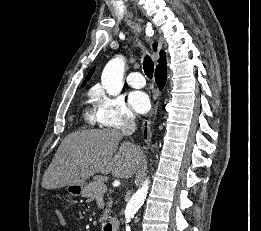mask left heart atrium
I'll list each match as a JSON object with an SVG mask.
<instances>
[{"label": "left heart atrium", "mask_w": 261, "mask_h": 231, "mask_svg": "<svg viewBox=\"0 0 261 231\" xmlns=\"http://www.w3.org/2000/svg\"><path fill=\"white\" fill-rule=\"evenodd\" d=\"M129 104L135 112L144 114L150 108V99L142 91H133L129 95Z\"/></svg>", "instance_id": "1"}]
</instances>
